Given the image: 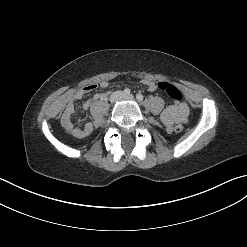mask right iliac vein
<instances>
[{"mask_svg":"<svg viewBox=\"0 0 247 247\" xmlns=\"http://www.w3.org/2000/svg\"><path fill=\"white\" fill-rule=\"evenodd\" d=\"M122 97H123V93L121 91H117L111 95L110 100H111V102H116L117 100L121 99Z\"/></svg>","mask_w":247,"mask_h":247,"instance_id":"right-iliac-vein-1","label":"right iliac vein"}]
</instances>
